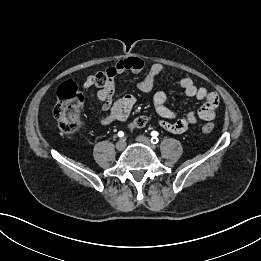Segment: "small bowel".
I'll return each mask as SVG.
<instances>
[{
  "label": "small bowel",
  "instance_id": "c3829d8e",
  "mask_svg": "<svg viewBox=\"0 0 261 261\" xmlns=\"http://www.w3.org/2000/svg\"><path fill=\"white\" fill-rule=\"evenodd\" d=\"M144 67L145 63L142 59L138 57H128L108 67L104 71L107 81L97 92V99L101 102L102 109L108 113L100 119L102 125H109L114 121L127 119L136 103V98L131 94H126L114 99V79L125 72L138 74ZM165 72L166 67L163 64H152L146 76L138 82V90L145 93L150 92L154 86L156 77ZM91 78L92 76L85 80V87L93 86ZM178 84L184 90L187 97L204 101V103L197 114L190 112L184 117L176 119V113L166 105L168 100L167 94L164 91L156 92L153 97V104L158 115V123L163 129L174 134H181L185 132L190 125L196 123L198 119L204 121L214 119L219 104L218 95L216 93L209 92L204 87H198L190 77L180 78Z\"/></svg>",
  "mask_w": 261,
  "mask_h": 261
}]
</instances>
